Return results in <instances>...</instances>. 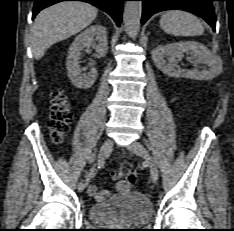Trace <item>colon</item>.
<instances>
[{"label":"colon","mask_w":234,"mask_h":231,"mask_svg":"<svg viewBox=\"0 0 234 231\" xmlns=\"http://www.w3.org/2000/svg\"><path fill=\"white\" fill-rule=\"evenodd\" d=\"M49 128L55 140L59 141L68 129L71 120V112L62 91L54 93L50 104ZM124 177L126 182L134 185L137 182V174L134 167L123 163L120 168L112 173V178L118 180Z\"/></svg>","instance_id":"5ec220e1"}]
</instances>
